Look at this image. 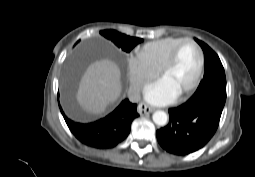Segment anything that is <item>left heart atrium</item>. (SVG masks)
I'll list each match as a JSON object with an SVG mask.
<instances>
[{"label": "left heart atrium", "instance_id": "39dd6f15", "mask_svg": "<svg viewBox=\"0 0 255 177\" xmlns=\"http://www.w3.org/2000/svg\"><path fill=\"white\" fill-rule=\"evenodd\" d=\"M178 93L163 78L149 85L145 90V99L151 104L165 105L172 102Z\"/></svg>", "mask_w": 255, "mask_h": 177}]
</instances>
